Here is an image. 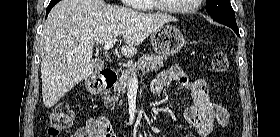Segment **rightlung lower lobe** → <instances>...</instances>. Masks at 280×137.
Segmentation results:
<instances>
[{
	"label": "right lung lower lobe",
	"mask_w": 280,
	"mask_h": 137,
	"mask_svg": "<svg viewBox=\"0 0 280 137\" xmlns=\"http://www.w3.org/2000/svg\"><path fill=\"white\" fill-rule=\"evenodd\" d=\"M60 0H51L50 4L48 5L47 7V10H46V16L48 15V13L50 12V10L52 9V7L58 3Z\"/></svg>",
	"instance_id": "98d812e1"
}]
</instances>
